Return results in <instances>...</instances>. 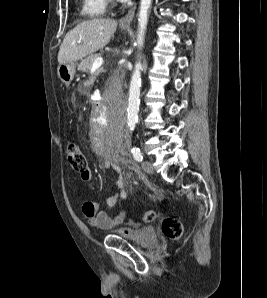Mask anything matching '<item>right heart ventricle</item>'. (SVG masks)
Listing matches in <instances>:
<instances>
[{
	"instance_id": "e07e8e85",
	"label": "right heart ventricle",
	"mask_w": 267,
	"mask_h": 298,
	"mask_svg": "<svg viewBox=\"0 0 267 298\" xmlns=\"http://www.w3.org/2000/svg\"><path fill=\"white\" fill-rule=\"evenodd\" d=\"M106 12V0H80V15L84 18H101Z\"/></svg>"
}]
</instances>
